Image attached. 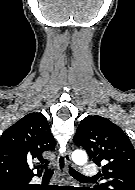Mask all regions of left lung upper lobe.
Instances as JSON below:
<instances>
[{
  "mask_svg": "<svg viewBox=\"0 0 135 190\" xmlns=\"http://www.w3.org/2000/svg\"><path fill=\"white\" fill-rule=\"evenodd\" d=\"M73 141L84 147L97 165L106 162L99 175L105 183L94 190H135V149L119 126L101 116H88Z\"/></svg>",
  "mask_w": 135,
  "mask_h": 190,
  "instance_id": "1",
  "label": "left lung upper lobe"
}]
</instances>
